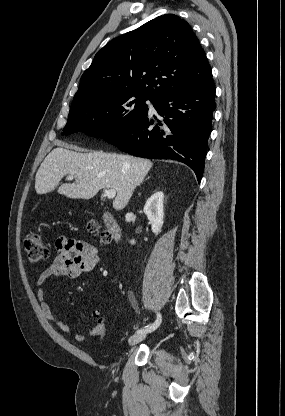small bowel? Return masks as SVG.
<instances>
[{
	"label": "small bowel",
	"instance_id": "small-bowel-1",
	"mask_svg": "<svg viewBox=\"0 0 285 416\" xmlns=\"http://www.w3.org/2000/svg\"><path fill=\"white\" fill-rule=\"evenodd\" d=\"M99 256L96 247L86 241L62 237L56 242V256L50 265L40 273L36 279L38 287L37 299L45 318L57 329L64 333H72L71 327L60 320L52 311L46 301L45 284L51 278L75 279L84 273L91 272L98 263ZM108 332L106 317L101 315L96 322L85 333H76L75 340L84 341L87 338H103Z\"/></svg>",
	"mask_w": 285,
	"mask_h": 416
}]
</instances>
